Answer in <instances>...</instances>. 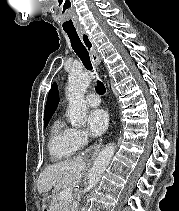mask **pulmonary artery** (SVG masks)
<instances>
[{"instance_id": "e3ab8cb5", "label": "pulmonary artery", "mask_w": 179, "mask_h": 211, "mask_svg": "<svg viewBox=\"0 0 179 211\" xmlns=\"http://www.w3.org/2000/svg\"><path fill=\"white\" fill-rule=\"evenodd\" d=\"M85 101L91 107H97L100 104V98L96 93H90L86 96Z\"/></svg>"}]
</instances>
